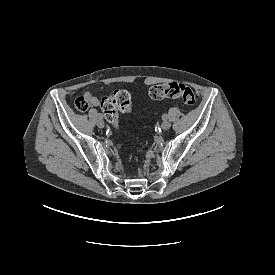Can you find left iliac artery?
Instances as JSON below:
<instances>
[{"label": "left iliac artery", "mask_w": 275, "mask_h": 275, "mask_svg": "<svg viewBox=\"0 0 275 275\" xmlns=\"http://www.w3.org/2000/svg\"><path fill=\"white\" fill-rule=\"evenodd\" d=\"M162 118H163L164 120H166V119L168 118V115H167V114H163Z\"/></svg>", "instance_id": "left-iliac-artery-1"}]
</instances>
